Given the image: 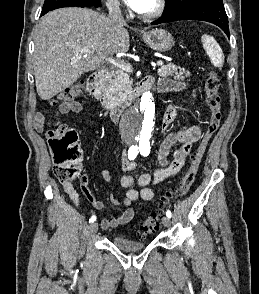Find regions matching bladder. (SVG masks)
<instances>
[{
	"label": "bladder",
	"mask_w": 259,
	"mask_h": 294,
	"mask_svg": "<svg viewBox=\"0 0 259 294\" xmlns=\"http://www.w3.org/2000/svg\"><path fill=\"white\" fill-rule=\"evenodd\" d=\"M113 245L124 252H137L145 249V241H137L123 235H115L112 241Z\"/></svg>",
	"instance_id": "bladder-1"
}]
</instances>
